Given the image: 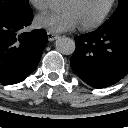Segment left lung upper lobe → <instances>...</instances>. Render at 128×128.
I'll return each mask as SVG.
<instances>
[{"label":"left lung upper lobe","instance_id":"left-lung-upper-lobe-1","mask_svg":"<svg viewBox=\"0 0 128 128\" xmlns=\"http://www.w3.org/2000/svg\"><path fill=\"white\" fill-rule=\"evenodd\" d=\"M128 19V0H119V6L112 16L99 28Z\"/></svg>","mask_w":128,"mask_h":128}]
</instances>
